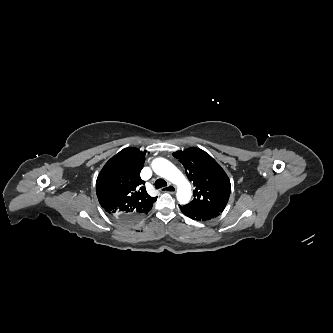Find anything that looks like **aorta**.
I'll return each mask as SVG.
<instances>
[{
    "instance_id": "obj_1",
    "label": "aorta",
    "mask_w": 333,
    "mask_h": 333,
    "mask_svg": "<svg viewBox=\"0 0 333 333\" xmlns=\"http://www.w3.org/2000/svg\"><path fill=\"white\" fill-rule=\"evenodd\" d=\"M151 166L156 174L177 185V199L180 204L190 201L191 185L176 166L164 158L154 159Z\"/></svg>"
}]
</instances>
